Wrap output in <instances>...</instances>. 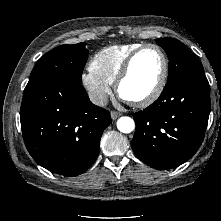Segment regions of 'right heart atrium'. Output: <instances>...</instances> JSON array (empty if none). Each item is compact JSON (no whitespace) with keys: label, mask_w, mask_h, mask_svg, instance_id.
Segmentation results:
<instances>
[{"label":"right heart atrium","mask_w":221,"mask_h":221,"mask_svg":"<svg viewBox=\"0 0 221 221\" xmlns=\"http://www.w3.org/2000/svg\"><path fill=\"white\" fill-rule=\"evenodd\" d=\"M81 83L90 100L98 106H103L112 93L111 84L97 76L90 68L81 75Z\"/></svg>","instance_id":"d8ad5b80"}]
</instances>
